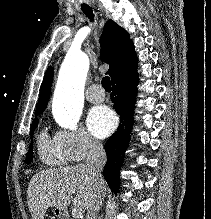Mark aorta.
<instances>
[{"label":"aorta","instance_id":"1","mask_svg":"<svg viewBox=\"0 0 211 219\" xmlns=\"http://www.w3.org/2000/svg\"><path fill=\"white\" fill-rule=\"evenodd\" d=\"M89 68L83 52L69 51L62 63L54 94V115L57 122L74 129L83 109V93Z\"/></svg>","mask_w":211,"mask_h":219}]
</instances>
